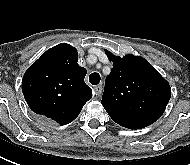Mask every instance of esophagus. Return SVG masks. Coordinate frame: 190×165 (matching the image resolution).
<instances>
[{"mask_svg":"<svg viewBox=\"0 0 190 165\" xmlns=\"http://www.w3.org/2000/svg\"><path fill=\"white\" fill-rule=\"evenodd\" d=\"M102 85H97L94 87V93L96 96H100L102 93Z\"/></svg>","mask_w":190,"mask_h":165,"instance_id":"obj_1","label":"esophagus"}]
</instances>
